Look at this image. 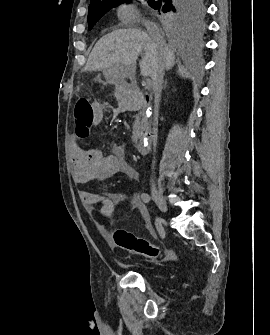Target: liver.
Segmentation results:
<instances>
[{"label":"liver","mask_w":270,"mask_h":335,"mask_svg":"<svg viewBox=\"0 0 270 335\" xmlns=\"http://www.w3.org/2000/svg\"><path fill=\"white\" fill-rule=\"evenodd\" d=\"M140 52H145L140 62L142 76H153L157 70L171 68L174 64L173 50L165 44V40L153 44L147 32L128 28V30H114L111 34L100 38L89 54L84 70L99 72L105 68H114L119 70L120 78H130L135 76L136 60Z\"/></svg>","instance_id":"liver-1"}]
</instances>
